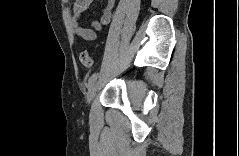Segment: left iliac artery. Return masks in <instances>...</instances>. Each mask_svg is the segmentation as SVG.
<instances>
[{"instance_id": "obj_1", "label": "left iliac artery", "mask_w": 239, "mask_h": 156, "mask_svg": "<svg viewBox=\"0 0 239 156\" xmlns=\"http://www.w3.org/2000/svg\"><path fill=\"white\" fill-rule=\"evenodd\" d=\"M98 76H99V73H94V74H92V75L90 76V78L88 79V84H87V86H88V87H91L92 84L95 82V80L98 78Z\"/></svg>"}]
</instances>
